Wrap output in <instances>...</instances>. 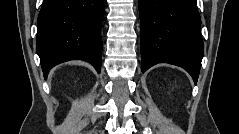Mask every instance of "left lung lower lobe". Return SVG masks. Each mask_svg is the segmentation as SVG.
<instances>
[{
    "mask_svg": "<svg viewBox=\"0 0 239 134\" xmlns=\"http://www.w3.org/2000/svg\"><path fill=\"white\" fill-rule=\"evenodd\" d=\"M196 0H139L142 72L157 63L184 68L197 83L203 58Z\"/></svg>",
    "mask_w": 239,
    "mask_h": 134,
    "instance_id": "obj_1",
    "label": "left lung lower lobe"
}]
</instances>
